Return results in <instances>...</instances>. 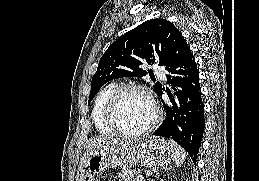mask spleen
<instances>
[{
	"instance_id": "spleen-1",
	"label": "spleen",
	"mask_w": 259,
	"mask_h": 181,
	"mask_svg": "<svg viewBox=\"0 0 259 181\" xmlns=\"http://www.w3.org/2000/svg\"><path fill=\"white\" fill-rule=\"evenodd\" d=\"M168 144L173 152V161L175 165L178 167L185 161L186 158V152L184 149L179 146L176 142L173 140H169Z\"/></svg>"
}]
</instances>
